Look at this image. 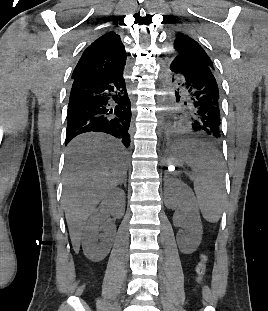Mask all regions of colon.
I'll return each mask as SVG.
<instances>
[{
    "mask_svg": "<svg viewBox=\"0 0 268 311\" xmlns=\"http://www.w3.org/2000/svg\"><path fill=\"white\" fill-rule=\"evenodd\" d=\"M206 266H207V256L206 254H202L200 257V261L196 267L198 281L203 280L206 273Z\"/></svg>",
    "mask_w": 268,
    "mask_h": 311,
    "instance_id": "colon-1",
    "label": "colon"
}]
</instances>
